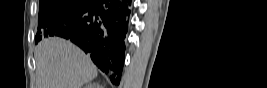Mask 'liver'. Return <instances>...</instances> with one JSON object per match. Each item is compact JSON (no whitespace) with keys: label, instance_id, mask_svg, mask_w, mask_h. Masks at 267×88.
I'll return each instance as SVG.
<instances>
[{"label":"liver","instance_id":"6515ba94","mask_svg":"<svg viewBox=\"0 0 267 88\" xmlns=\"http://www.w3.org/2000/svg\"><path fill=\"white\" fill-rule=\"evenodd\" d=\"M34 57L38 88H81L97 76V68L70 41L49 37L38 43Z\"/></svg>","mask_w":267,"mask_h":88}]
</instances>
